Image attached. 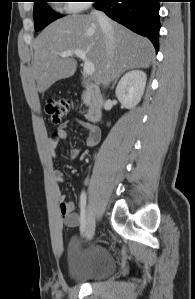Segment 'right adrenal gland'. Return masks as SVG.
<instances>
[{
	"instance_id": "1",
	"label": "right adrenal gland",
	"mask_w": 195,
	"mask_h": 299,
	"mask_svg": "<svg viewBox=\"0 0 195 299\" xmlns=\"http://www.w3.org/2000/svg\"><path fill=\"white\" fill-rule=\"evenodd\" d=\"M119 77L116 78V80L114 81L113 85H112V89L114 88V85L116 84L117 80Z\"/></svg>"
}]
</instances>
